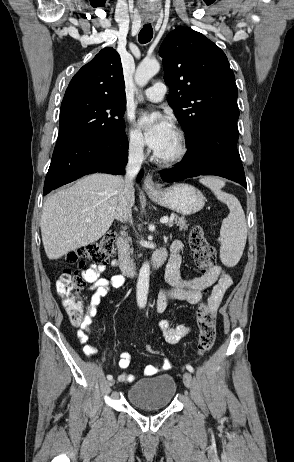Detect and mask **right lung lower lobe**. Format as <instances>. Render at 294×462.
I'll return each instance as SVG.
<instances>
[{
  "label": "right lung lower lobe",
  "mask_w": 294,
  "mask_h": 462,
  "mask_svg": "<svg viewBox=\"0 0 294 462\" xmlns=\"http://www.w3.org/2000/svg\"><path fill=\"white\" fill-rule=\"evenodd\" d=\"M123 132L74 136L57 142L46 175L43 195L86 174H123L128 156ZM143 171L138 175V180Z\"/></svg>",
  "instance_id": "98d812e1"
}]
</instances>
